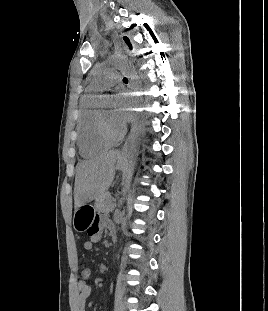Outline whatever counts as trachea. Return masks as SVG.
I'll return each mask as SVG.
<instances>
[{"instance_id": "obj_1", "label": "trachea", "mask_w": 268, "mask_h": 311, "mask_svg": "<svg viewBox=\"0 0 268 311\" xmlns=\"http://www.w3.org/2000/svg\"><path fill=\"white\" fill-rule=\"evenodd\" d=\"M123 81H124V82H127V81H128V79H127L126 77H124V78H123Z\"/></svg>"}]
</instances>
